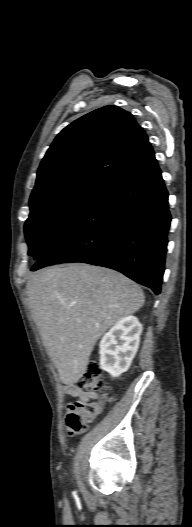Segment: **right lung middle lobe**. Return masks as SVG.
<instances>
[{
    "label": "right lung middle lobe",
    "mask_w": 192,
    "mask_h": 527,
    "mask_svg": "<svg viewBox=\"0 0 192 527\" xmlns=\"http://www.w3.org/2000/svg\"><path fill=\"white\" fill-rule=\"evenodd\" d=\"M106 182L85 178L32 196L24 227L28 255L40 260L81 216Z\"/></svg>",
    "instance_id": "dd1d6c3e"
}]
</instances>
